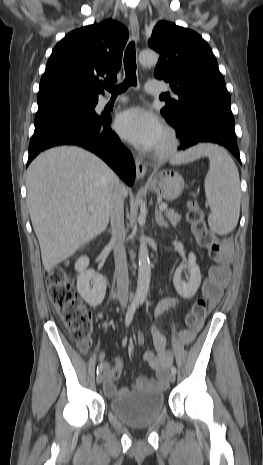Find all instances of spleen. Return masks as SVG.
<instances>
[{
  "instance_id": "1",
  "label": "spleen",
  "mask_w": 263,
  "mask_h": 465,
  "mask_svg": "<svg viewBox=\"0 0 263 465\" xmlns=\"http://www.w3.org/2000/svg\"><path fill=\"white\" fill-rule=\"evenodd\" d=\"M205 155L210 161L205 177V194L211 210L208 224L217 234L225 235L236 227L240 214V180L232 158L217 145L199 144L176 156L171 163L190 162Z\"/></svg>"
}]
</instances>
